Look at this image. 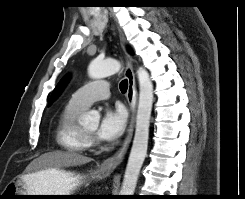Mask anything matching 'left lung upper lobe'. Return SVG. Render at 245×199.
Listing matches in <instances>:
<instances>
[{"mask_svg":"<svg viewBox=\"0 0 245 199\" xmlns=\"http://www.w3.org/2000/svg\"><path fill=\"white\" fill-rule=\"evenodd\" d=\"M69 77H64L59 83L58 85L55 87L54 91L52 92V95L50 97L49 100V105L52 104V102L59 96V94L61 93V91L63 90V88L65 87L66 83L68 82Z\"/></svg>","mask_w":245,"mask_h":199,"instance_id":"left-lung-upper-lobe-1","label":"left lung upper lobe"}]
</instances>
